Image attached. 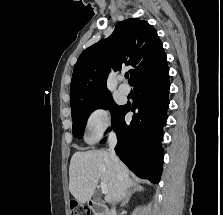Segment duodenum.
I'll use <instances>...</instances> for the list:
<instances>
[{
  "label": "duodenum",
  "mask_w": 223,
  "mask_h": 215,
  "mask_svg": "<svg viewBox=\"0 0 223 215\" xmlns=\"http://www.w3.org/2000/svg\"><path fill=\"white\" fill-rule=\"evenodd\" d=\"M89 204L93 215H107L102 200H92L89 202Z\"/></svg>",
  "instance_id": "duodenum-1"
}]
</instances>
